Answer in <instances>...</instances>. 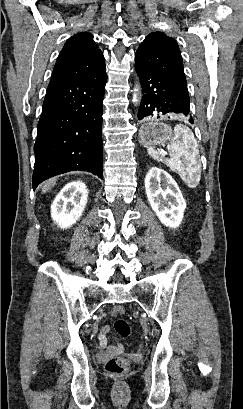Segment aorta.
Returning <instances> with one entry per match:
<instances>
[{
    "instance_id": "762f6f07",
    "label": "aorta",
    "mask_w": 243,
    "mask_h": 409,
    "mask_svg": "<svg viewBox=\"0 0 243 409\" xmlns=\"http://www.w3.org/2000/svg\"><path fill=\"white\" fill-rule=\"evenodd\" d=\"M135 91H138V89H135ZM133 101H137V95L136 94H134V96H133Z\"/></svg>"
}]
</instances>
